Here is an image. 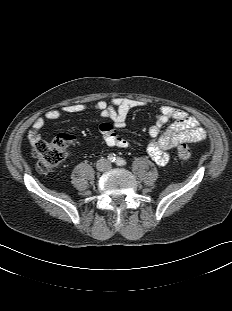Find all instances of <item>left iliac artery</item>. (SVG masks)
I'll return each instance as SVG.
<instances>
[{
    "instance_id": "obj_1",
    "label": "left iliac artery",
    "mask_w": 232,
    "mask_h": 311,
    "mask_svg": "<svg viewBox=\"0 0 232 311\" xmlns=\"http://www.w3.org/2000/svg\"><path fill=\"white\" fill-rule=\"evenodd\" d=\"M115 163H116L118 166H124V165H126V161H125L123 158H120V157L116 158Z\"/></svg>"
}]
</instances>
